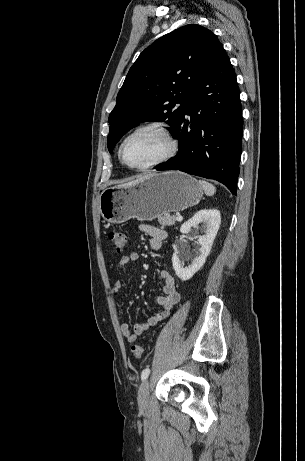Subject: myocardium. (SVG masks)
Wrapping results in <instances>:
<instances>
[{
    "label": "myocardium",
    "instance_id": "myocardium-1",
    "mask_svg": "<svg viewBox=\"0 0 305 461\" xmlns=\"http://www.w3.org/2000/svg\"><path fill=\"white\" fill-rule=\"evenodd\" d=\"M146 130H155V131L160 132L168 142V149L165 152V154H163L160 158H158V159H156V160H154V161H152V162H150L148 164L141 165V166H133V165L129 164L124 158V146H125V144L127 143V141L130 138H132L136 134H138V133H140L142 131H146ZM177 151H178V142L175 139V137L173 136L170 128L168 127V125L165 124V123H162V122L153 121V122H148V123H144L142 125H139L135 129H133L122 140V142H121V144L119 146V158H120L121 162L125 166H127L128 168L133 169V170L143 171V170H148V169L155 168L157 166H160V165L166 163L167 161H169L171 158H173L176 155Z\"/></svg>",
    "mask_w": 305,
    "mask_h": 461
}]
</instances>
